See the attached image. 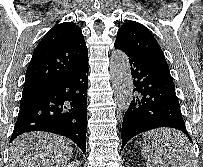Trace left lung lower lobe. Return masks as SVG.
Returning a JSON list of instances; mask_svg holds the SVG:
<instances>
[{
    "label": "left lung lower lobe",
    "instance_id": "obj_1",
    "mask_svg": "<svg viewBox=\"0 0 203 167\" xmlns=\"http://www.w3.org/2000/svg\"><path fill=\"white\" fill-rule=\"evenodd\" d=\"M115 48L125 52L129 58L135 92L122 123V148L137 134L159 127L178 129L192 142L169 68L152 63L117 43ZM175 148L187 149L185 145Z\"/></svg>",
    "mask_w": 203,
    "mask_h": 167
}]
</instances>
